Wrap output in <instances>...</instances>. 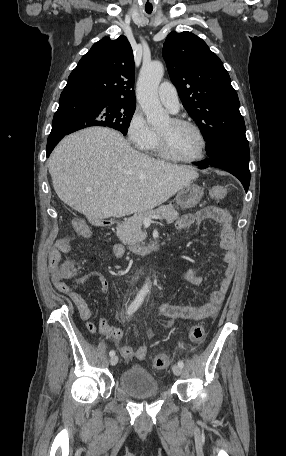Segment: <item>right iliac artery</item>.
<instances>
[{
  "label": "right iliac artery",
  "mask_w": 286,
  "mask_h": 456,
  "mask_svg": "<svg viewBox=\"0 0 286 456\" xmlns=\"http://www.w3.org/2000/svg\"><path fill=\"white\" fill-rule=\"evenodd\" d=\"M145 296H146V291L145 290H140L139 293L137 294L136 298L134 299V301L128 307V310H127L128 316H131L140 307V305L144 301ZM109 355L110 356H114L115 355V351L111 350L109 352Z\"/></svg>",
  "instance_id": "right-iliac-artery-1"
}]
</instances>
